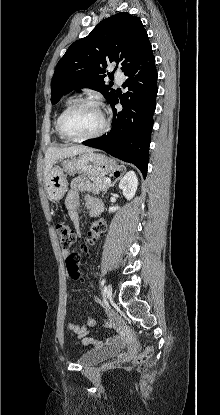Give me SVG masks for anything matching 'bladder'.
Returning a JSON list of instances; mask_svg holds the SVG:
<instances>
[{
  "label": "bladder",
  "mask_w": 220,
  "mask_h": 415,
  "mask_svg": "<svg viewBox=\"0 0 220 415\" xmlns=\"http://www.w3.org/2000/svg\"><path fill=\"white\" fill-rule=\"evenodd\" d=\"M122 351L119 346H109L98 349H91L84 352L78 359L81 366H94L105 360L117 357Z\"/></svg>",
  "instance_id": "1"
}]
</instances>
